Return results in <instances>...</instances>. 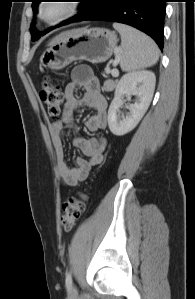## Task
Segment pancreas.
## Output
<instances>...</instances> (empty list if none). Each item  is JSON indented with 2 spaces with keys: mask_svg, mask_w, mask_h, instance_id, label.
<instances>
[{
  "mask_svg": "<svg viewBox=\"0 0 195 299\" xmlns=\"http://www.w3.org/2000/svg\"><path fill=\"white\" fill-rule=\"evenodd\" d=\"M116 83H117V80L113 81V80L108 79L104 82L102 89L104 91H112L116 87Z\"/></svg>",
  "mask_w": 195,
  "mask_h": 299,
  "instance_id": "cf45deb5",
  "label": "pancreas"
}]
</instances>
